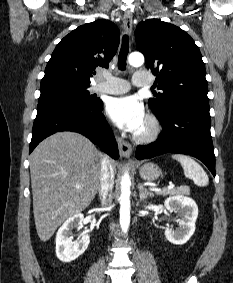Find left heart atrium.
<instances>
[{"label": "left heart atrium", "instance_id": "39dd6f15", "mask_svg": "<svg viewBox=\"0 0 233 283\" xmlns=\"http://www.w3.org/2000/svg\"><path fill=\"white\" fill-rule=\"evenodd\" d=\"M106 113L118 127L134 133L145 121L143 105L135 96L111 98L106 105Z\"/></svg>", "mask_w": 233, "mask_h": 283}]
</instances>
